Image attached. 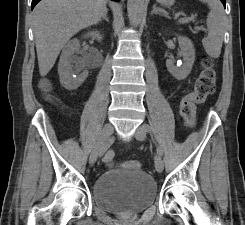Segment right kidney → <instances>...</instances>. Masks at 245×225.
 <instances>
[{
	"label": "right kidney",
	"mask_w": 245,
	"mask_h": 225,
	"mask_svg": "<svg viewBox=\"0 0 245 225\" xmlns=\"http://www.w3.org/2000/svg\"><path fill=\"white\" fill-rule=\"evenodd\" d=\"M84 37H92L98 41L102 40V35L99 31H91ZM80 42L78 39L70 40L64 47L58 63V73L60 83L67 90L77 89L87 78L88 72L82 71L83 62L76 57L75 53L79 51ZM75 64V65H74Z\"/></svg>",
	"instance_id": "obj_1"
}]
</instances>
